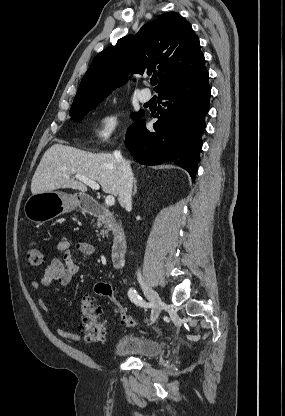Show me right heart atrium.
I'll return each mask as SVG.
<instances>
[{
  "instance_id": "right-heart-atrium-1",
  "label": "right heart atrium",
  "mask_w": 285,
  "mask_h": 416,
  "mask_svg": "<svg viewBox=\"0 0 285 416\" xmlns=\"http://www.w3.org/2000/svg\"><path fill=\"white\" fill-rule=\"evenodd\" d=\"M120 125V113L116 109H106L97 115L94 139L97 144L108 143Z\"/></svg>"
}]
</instances>
